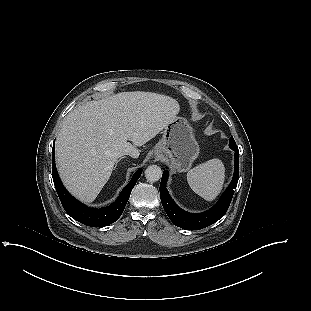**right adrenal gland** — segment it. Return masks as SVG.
<instances>
[{"label":"right adrenal gland","instance_id":"2a0ac1e0","mask_svg":"<svg viewBox=\"0 0 311 311\" xmlns=\"http://www.w3.org/2000/svg\"><path fill=\"white\" fill-rule=\"evenodd\" d=\"M121 160V158L117 161V163H116V165H115V168H116V166H117V164H118V162Z\"/></svg>","mask_w":311,"mask_h":311}]
</instances>
